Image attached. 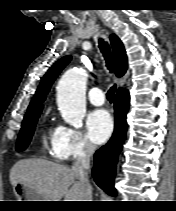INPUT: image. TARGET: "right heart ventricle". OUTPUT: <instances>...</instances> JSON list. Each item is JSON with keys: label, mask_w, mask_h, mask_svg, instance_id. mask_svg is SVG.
Masks as SVG:
<instances>
[{"label": "right heart ventricle", "mask_w": 176, "mask_h": 211, "mask_svg": "<svg viewBox=\"0 0 176 211\" xmlns=\"http://www.w3.org/2000/svg\"><path fill=\"white\" fill-rule=\"evenodd\" d=\"M57 133H58V127H53V126H49L47 128V131H46V139L50 141L51 143V154L56 157V155L53 153V150H52V144L53 142L55 141L56 137H57ZM57 158V157H56Z\"/></svg>", "instance_id": "e07e8e85"}]
</instances>
